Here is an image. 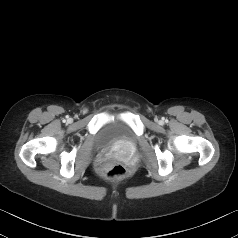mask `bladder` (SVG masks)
Listing matches in <instances>:
<instances>
[{
    "label": "bladder",
    "instance_id": "bladder-1",
    "mask_svg": "<svg viewBox=\"0 0 238 238\" xmlns=\"http://www.w3.org/2000/svg\"><path fill=\"white\" fill-rule=\"evenodd\" d=\"M134 140L135 134L131 127L117 115L113 120L104 123L96 135L97 145L102 148L132 143Z\"/></svg>",
    "mask_w": 238,
    "mask_h": 238
}]
</instances>
